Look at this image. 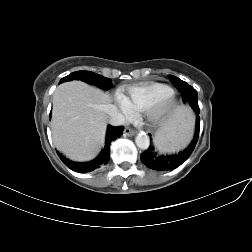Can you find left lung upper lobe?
I'll return each instance as SVG.
<instances>
[{
    "label": "left lung upper lobe",
    "mask_w": 252,
    "mask_h": 252,
    "mask_svg": "<svg viewBox=\"0 0 252 252\" xmlns=\"http://www.w3.org/2000/svg\"><path fill=\"white\" fill-rule=\"evenodd\" d=\"M169 79H170L171 83L174 84V85H176L177 83L184 82L181 79H179V78H177L175 76H171V75L169 76Z\"/></svg>",
    "instance_id": "left-lung-upper-lobe-1"
}]
</instances>
